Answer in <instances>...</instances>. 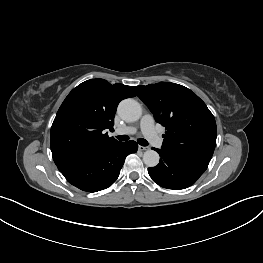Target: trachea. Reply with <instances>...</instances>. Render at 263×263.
<instances>
[{
	"label": "trachea",
	"instance_id": "3493384b",
	"mask_svg": "<svg viewBox=\"0 0 263 263\" xmlns=\"http://www.w3.org/2000/svg\"><path fill=\"white\" fill-rule=\"evenodd\" d=\"M118 140L120 141H127L129 139V137L127 135H118L116 137ZM137 142L141 145V146H147L148 142L147 140L143 139V138H139L137 139Z\"/></svg>",
	"mask_w": 263,
	"mask_h": 263
}]
</instances>
